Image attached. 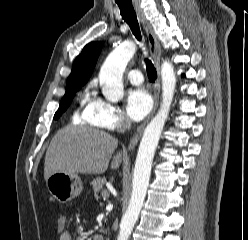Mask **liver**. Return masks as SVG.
Wrapping results in <instances>:
<instances>
[{
	"label": "liver",
	"instance_id": "liver-1",
	"mask_svg": "<svg viewBox=\"0 0 248 240\" xmlns=\"http://www.w3.org/2000/svg\"><path fill=\"white\" fill-rule=\"evenodd\" d=\"M118 141L112 135L87 127L67 126L53 137L45 155V180L56 172L102 174L108 166ZM124 154L113 157L111 169L119 168Z\"/></svg>",
	"mask_w": 248,
	"mask_h": 240
}]
</instances>
